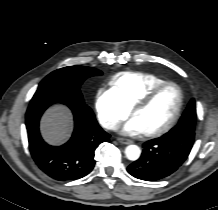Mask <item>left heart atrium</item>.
<instances>
[{"label": "left heart atrium", "mask_w": 218, "mask_h": 210, "mask_svg": "<svg viewBox=\"0 0 218 210\" xmlns=\"http://www.w3.org/2000/svg\"><path fill=\"white\" fill-rule=\"evenodd\" d=\"M122 132L126 135L135 136L140 135L143 129L138 120L133 116L122 127Z\"/></svg>", "instance_id": "39dd6f15"}]
</instances>
